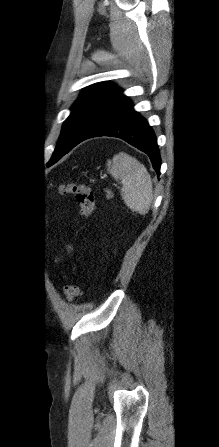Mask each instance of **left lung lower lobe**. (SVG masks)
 <instances>
[{"label": "left lung lower lobe", "instance_id": "0a47b994", "mask_svg": "<svg viewBox=\"0 0 219 447\" xmlns=\"http://www.w3.org/2000/svg\"><path fill=\"white\" fill-rule=\"evenodd\" d=\"M98 136L118 137L143 151L149 156L157 174H160L161 159L155 134L147 121L133 110V104L127 97L82 141ZM77 144L72 145L60 156L51 158L47 166L56 163Z\"/></svg>", "mask_w": 219, "mask_h": 447}]
</instances>
